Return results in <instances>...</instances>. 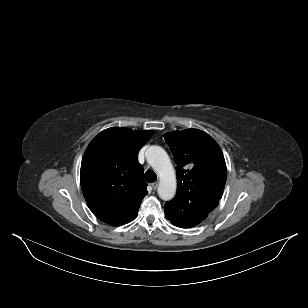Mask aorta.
I'll list each match as a JSON object with an SVG mask.
<instances>
[{"label": "aorta", "instance_id": "1", "mask_svg": "<svg viewBox=\"0 0 308 308\" xmlns=\"http://www.w3.org/2000/svg\"><path fill=\"white\" fill-rule=\"evenodd\" d=\"M147 162L160 177L158 195L162 200H171L176 193V176L170 158L160 146H151L146 151Z\"/></svg>", "mask_w": 308, "mask_h": 308}]
</instances>
